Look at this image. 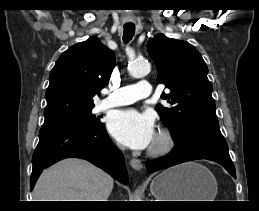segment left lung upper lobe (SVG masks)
<instances>
[{
    "label": "left lung upper lobe",
    "mask_w": 259,
    "mask_h": 211,
    "mask_svg": "<svg viewBox=\"0 0 259 211\" xmlns=\"http://www.w3.org/2000/svg\"><path fill=\"white\" fill-rule=\"evenodd\" d=\"M158 69L157 82L170 93L161 95L171 105L156 106L175 143L197 131L221 134L212 98L208 68L198 50L186 41L158 34L147 44Z\"/></svg>",
    "instance_id": "5c2ea615"
}]
</instances>
